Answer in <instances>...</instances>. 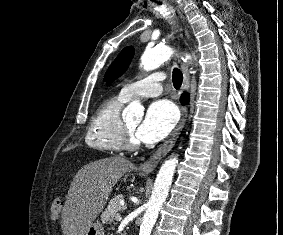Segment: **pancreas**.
<instances>
[{
	"mask_svg": "<svg viewBox=\"0 0 283 235\" xmlns=\"http://www.w3.org/2000/svg\"><path fill=\"white\" fill-rule=\"evenodd\" d=\"M123 195H117L108 204L107 208L101 215V220L104 224L111 223L117 212L123 211L125 206L121 205Z\"/></svg>",
	"mask_w": 283,
	"mask_h": 235,
	"instance_id": "1",
	"label": "pancreas"
}]
</instances>
